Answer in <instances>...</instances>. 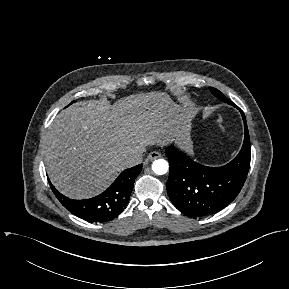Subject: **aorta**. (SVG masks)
<instances>
[{"label": "aorta", "instance_id": "obj_1", "mask_svg": "<svg viewBox=\"0 0 289 289\" xmlns=\"http://www.w3.org/2000/svg\"><path fill=\"white\" fill-rule=\"evenodd\" d=\"M169 169L168 162L164 159H157L152 164V170L155 174L163 175Z\"/></svg>", "mask_w": 289, "mask_h": 289}]
</instances>
